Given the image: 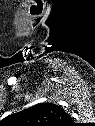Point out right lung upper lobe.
I'll return each mask as SVG.
<instances>
[{
	"label": "right lung upper lobe",
	"mask_w": 95,
	"mask_h": 126,
	"mask_svg": "<svg viewBox=\"0 0 95 126\" xmlns=\"http://www.w3.org/2000/svg\"><path fill=\"white\" fill-rule=\"evenodd\" d=\"M14 126H71L72 118L54 103H40L6 118Z\"/></svg>",
	"instance_id": "right-lung-upper-lobe-1"
}]
</instances>
